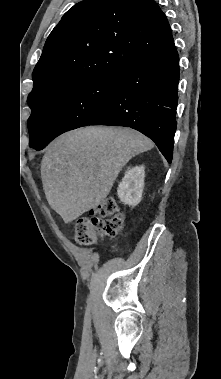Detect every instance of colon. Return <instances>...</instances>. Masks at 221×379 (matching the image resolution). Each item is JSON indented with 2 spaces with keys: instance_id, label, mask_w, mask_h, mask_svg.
<instances>
[{
  "instance_id": "5ec220e1",
  "label": "colon",
  "mask_w": 221,
  "mask_h": 379,
  "mask_svg": "<svg viewBox=\"0 0 221 379\" xmlns=\"http://www.w3.org/2000/svg\"><path fill=\"white\" fill-rule=\"evenodd\" d=\"M124 226V215L116 202L106 200L98 204L90 217L81 218L75 225V240L88 246L99 238L116 235Z\"/></svg>"
}]
</instances>
